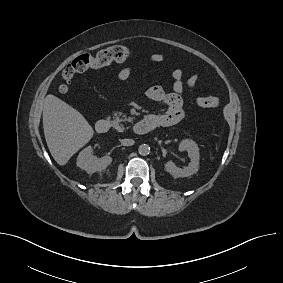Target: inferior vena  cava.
Segmentation results:
<instances>
[{"mask_svg": "<svg viewBox=\"0 0 283 283\" xmlns=\"http://www.w3.org/2000/svg\"><path fill=\"white\" fill-rule=\"evenodd\" d=\"M135 143L133 139H122L121 144L123 146H132Z\"/></svg>", "mask_w": 283, "mask_h": 283, "instance_id": "1", "label": "inferior vena cava"}]
</instances>
